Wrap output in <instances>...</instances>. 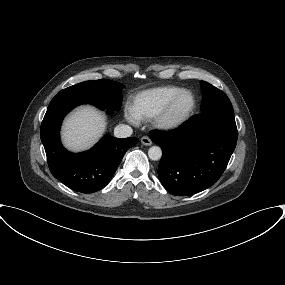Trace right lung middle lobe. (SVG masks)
<instances>
[{"label": "right lung middle lobe", "instance_id": "1", "mask_svg": "<svg viewBox=\"0 0 285 285\" xmlns=\"http://www.w3.org/2000/svg\"><path fill=\"white\" fill-rule=\"evenodd\" d=\"M124 85L107 79L85 81L61 90L58 95H70L82 102L92 103L102 109L117 111L121 107Z\"/></svg>", "mask_w": 285, "mask_h": 285}]
</instances>
